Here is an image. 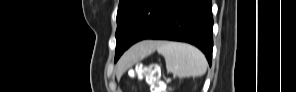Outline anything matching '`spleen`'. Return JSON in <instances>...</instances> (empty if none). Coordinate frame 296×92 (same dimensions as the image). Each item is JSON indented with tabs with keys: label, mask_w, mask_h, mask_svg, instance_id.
Returning a JSON list of instances; mask_svg holds the SVG:
<instances>
[{
	"label": "spleen",
	"mask_w": 296,
	"mask_h": 92,
	"mask_svg": "<svg viewBox=\"0 0 296 92\" xmlns=\"http://www.w3.org/2000/svg\"><path fill=\"white\" fill-rule=\"evenodd\" d=\"M159 54L163 55L168 72L185 77H201L207 70L205 56L196 47L179 42H157Z\"/></svg>",
	"instance_id": "spleen-1"
}]
</instances>
